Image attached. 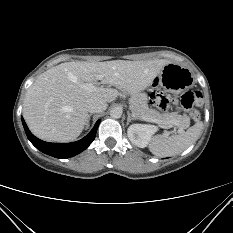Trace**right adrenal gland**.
Returning a JSON list of instances; mask_svg holds the SVG:
<instances>
[{
  "label": "right adrenal gland",
  "mask_w": 233,
  "mask_h": 233,
  "mask_svg": "<svg viewBox=\"0 0 233 233\" xmlns=\"http://www.w3.org/2000/svg\"><path fill=\"white\" fill-rule=\"evenodd\" d=\"M91 116H92V114H89V115H88L87 122H86V126H87V127L89 126V122H90Z\"/></svg>",
  "instance_id": "2a0ac1e0"
}]
</instances>
